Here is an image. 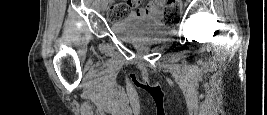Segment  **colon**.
Listing matches in <instances>:
<instances>
[{
    "label": "colon",
    "mask_w": 267,
    "mask_h": 115,
    "mask_svg": "<svg viewBox=\"0 0 267 115\" xmlns=\"http://www.w3.org/2000/svg\"><path fill=\"white\" fill-rule=\"evenodd\" d=\"M133 7L130 3H118L112 5L107 13V17L111 22H117L124 19L131 13ZM164 18L166 21H176L181 16V1L171 0L168 1L163 9Z\"/></svg>",
    "instance_id": "5ec220e1"
}]
</instances>
